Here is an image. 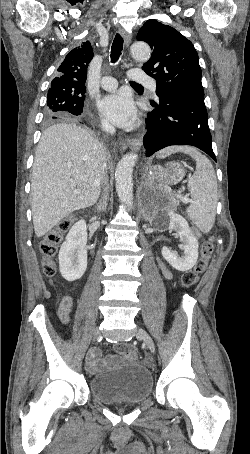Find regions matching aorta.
I'll use <instances>...</instances> for the list:
<instances>
[{"mask_svg":"<svg viewBox=\"0 0 250 454\" xmlns=\"http://www.w3.org/2000/svg\"><path fill=\"white\" fill-rule=\"evenodd\" d=\"M130 50L132 57L140 62H146L150 58L151 50L145 42H134ZM137 159L138 155L130 152L122 157L116 167V192L120 201L126 206H131L133 203V169Z\"/></svg>","mask_w":250,"mask_h":454,"instance_id":"762f6f07","label":"aorta"}]
</instances>
